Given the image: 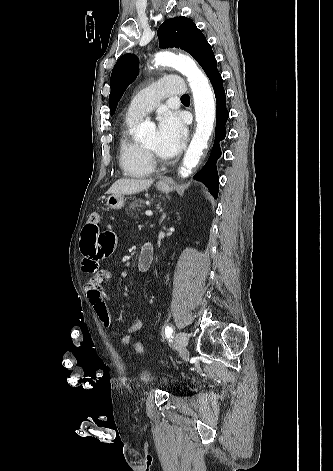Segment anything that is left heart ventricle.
<instances>
[{
	"instance_id": "left-heart-ventricle-1",
	"label": "left heart ventricle",
	"mask_w": 333,
	"mask_h": 471,
	"mask_svg": "<svg viewBox=\"0 0 333 471\" xmlns=\"http://www.w3.org/2000/svg\"><path fill=\"white\" fill-rule=\"evenodd\" d=\"M144 145L155 152H157V133L154 132L150 138L144 143ZM158 153V152H157Z\"/></svg>"
}]
</instances>
